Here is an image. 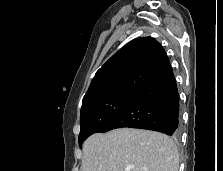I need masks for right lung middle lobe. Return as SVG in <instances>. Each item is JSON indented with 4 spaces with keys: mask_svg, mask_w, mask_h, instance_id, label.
Masks as SVG:
<instances>
[{
    "mask_svg": "<svg viewBox=\"0 0 223 171\" xmlns=\"http://www.w3.org/2000/svg\"><path fill=\"white\" fill-rule=\"evenodd\" d=\"M138 94L120 92L97 98L81 108L79 144L98 130Z\"/></svg>",
    "mask_w": 223,
    "mask_h": 171,
    "instance_id": "1",
    "label": "right lung middle lobe"
}]
</instances>
